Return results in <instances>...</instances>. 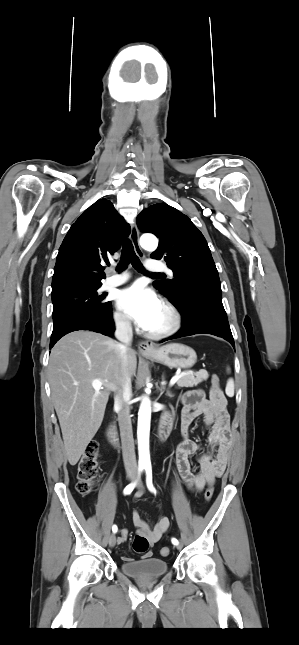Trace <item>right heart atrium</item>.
<instances>
[{"instance_id": "obj_1", "label": "right heart atrium", "mask_w": 299, "mask_h": 645, "mask_svg": "<svg viewBox=\"0 0 299 645\" xmlns=\"http://www.w3.org/2000/svg\"><path fill=\"white\" fill-rule=\"evenodd\" d=\"M112 317L117 328L125 330L131 327L130 319L123 312L117 310L113 313Z\"/></svg>"}]
</instances>
